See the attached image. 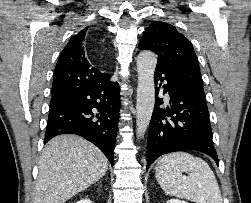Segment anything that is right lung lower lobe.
I'll use <instances>...</instances> for the list:
<instances>
[{
    "mask_svg": "<svg viewBox=\"0 0 251 203\" xmlns=\"http://www.w3.org/2000/svg\"><path fill=\"white\" fill-rule=\"evenodd\" d=\"M120 87L109 79L90 84L50 105L45 143L61 134H76L96 145L114 161L120 109Z\"/></svg>",
    "mask_w": 251,
    "mask_h": 203,
    "instance_id": "right-lung-lower-lobe-1",
    "label": "right lung lower lobe"
}]
</instances>
